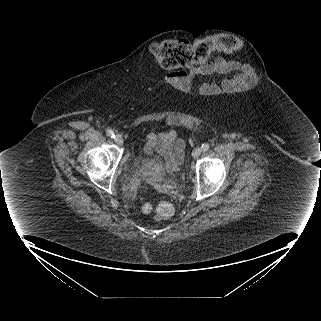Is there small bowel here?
Masks as SVG:
<instances>
[{
    "label": "small bowel",
    "mask_w": 321,
    "mask_h": 321,
    "mask_svg": "<svg viewBox=\"0 0 321 321\" xmlns=\"http://www.w3.org/2000/svg\"><path fill=\"white\" fill-rule=\"evenodd\" d=\"M234 73V81L225 79L221 87L216 82H205L196 88L200 97L217 96L221 88L227 93L242 91L245 87L252 88L257 83L251 67L224 58H218L214 62L195 66L188 71L174 72L168 75V80L184 90L194 88L195 79L198 76L213 74ZM185 143L180 139L175 130L159 132L151 129L146 137L145 152L147 154H159L166 162L169 169L175 170L182 160Z\"/></svg>",
    "instance_id": "c3829d8e"
}]
</instances>
